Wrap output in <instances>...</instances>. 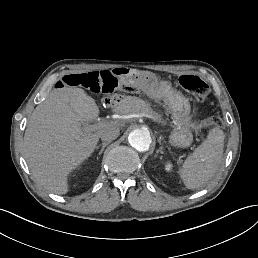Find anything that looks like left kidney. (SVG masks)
Returning <instances> with one entry per match:
<instances>
[{
	"instance_id": "obj_1",
	"label": "left kidney",
	"mask_w": 258,
	"mask_h": 258,
	"mask_svg": "<svg viewBox=\"0 0 258 258\" xmlns=\"http://www.w3.org/2000/svg\"><path fill=\"white\" fill-rule=\"evenodd\" d=\"M172 167H173V165H172V163L171 162H166V164H165V170L167 171V172H169V171H171L172 170Z\"/></svg>"
}]
</instances>
